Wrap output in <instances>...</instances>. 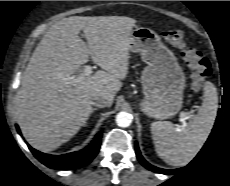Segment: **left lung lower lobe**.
Masks as SVG:
<instances>
[{"instance_id": "0a47b994", "label": "left lung lower lobe", "mask_w": 230, "mask_h": 186, "mask_svg": "<svg viewBox=\"0 0 230 186\" xmlns=\"http://www.w3.org/2000/svg\"><path fill=\"white\" fill-rule=\"evenodd\" d=\"M135 151H136V155H137V158H138V160L140 161V163H141L144 167H146L147 169H149V170H151V171H154V172H157V173H161V174H166V175H172V174H175V173H177L178 171L182 170V168H180V169H174V170H166V169H161V168H158V167H155V166L149 164V163H148L146 160H144V158L141 156L137 143H135Z\"/></svg>"}]
</instances>
